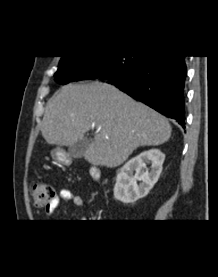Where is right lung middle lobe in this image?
<instances>
[{
	"mask_svg": "<svg viewBox=\"0 0 218 277\" xmlns=\"http://www.w3.org/2000/svg\"><path fill=\"white\" fill-rule=\"evenodd\" d=\"M140 56H62L54 77L60 84L84 79L87 75L102 76L108 82L122 81L139 69L148 59Z\"/></svg>",
	"mask_w": 218,
	"mask_h": 277,
	"instance_id": "1",
	"label": "right lung middle lobe"
}]
</instances>
